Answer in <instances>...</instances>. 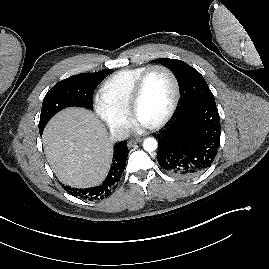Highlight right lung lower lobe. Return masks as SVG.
<instances>
[{
	"mask_svg": "<svg viewBox=\"0 0 269 269\" xmlns=\"http://www.w3.org/2000/svg\"><path fill=\"white\" fill-rule=\"evenodd\" d=\"M40 135H42L41 132ZM127 153L128 148L126 141H121L115 144L113 163L110 167L109 174L101 185L86 189H76L71 188L70 186H63V188L75 197H81L91 201L108 197L120 181L126 165Z\"/></svg>",
	"mask_w": 269,
	"mask_h": 269,
	"instance_id": "obj_1",
	"label": "right lung lower lobe"
}]
</instances>
